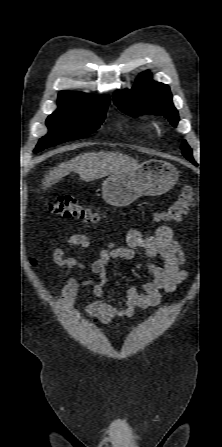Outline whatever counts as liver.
<instances>
[{"label": "liver", "instance_id": "6515ba94", "mask_svg": "<svg viewBox=\"0 0 222 447\" xmlns=\"http://www.w3.org/2000/svg\"><path fill=\"white\" fill-rule=\"evenodd\" d=\"M138 161L121 153L88 152L80 154L70 161L59 164L50 170L42 180L46 190L71 172L77 173L84 181H93L120 170L135 169Z\"/></svg>", "mask_w": 222, "mask_h": 447}]
</instances>
